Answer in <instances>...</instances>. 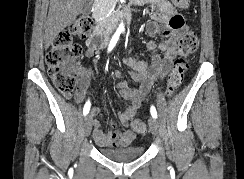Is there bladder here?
I'll use <instances>...</instances> for the list:
<instances>
[{
    "instance_id": "31cf9c89",
    "label": "bladder",
    "mask_w": 244,
    "mask_h": 179,
    "mask_svg": "<svg viewBox=\"0 0 244 179\" xmlns=\"http://www.w3.org/2000/svg\"><path fill=\"white\" fill-rule=\"evenodd\" d=\"M100 153L108 158L118 161H128L137 159L144 153V148L137 146H129L118 150H110L107 148H100Z\"/></svg>"
}]
</instances>
